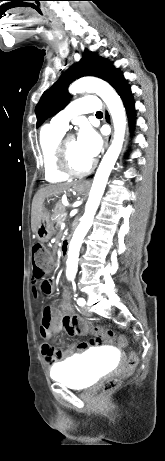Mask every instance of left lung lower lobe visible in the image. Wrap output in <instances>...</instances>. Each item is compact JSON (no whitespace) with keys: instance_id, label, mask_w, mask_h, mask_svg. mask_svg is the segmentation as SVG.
Here are the masks:
<instances>
[{"instance_id":"left-lung-lower-lobe-1","label":"left lung lower lobe","mask_w":165,"mask_h":461,"mask_svg":"<svg viewBox=\"0 0 165 461\" xmlns=\"http://www.w3.org/2000/svg\"><path fill=\"white\" fill-rule=\"evenodd\" d=\"M111 86L116 90V92L120 95L121 99L123 100L130 124L131 126H133V121L135 118L134 101L130 86L124 79L122 73L117 75V77L113 80Z\"/></svg>"}]
</instances>
